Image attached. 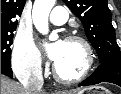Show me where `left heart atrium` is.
<instances>
[{
    "mask_svg": "<svg viewBox=\"0 0 121 94\" xmlns=\"http://www.w3.org/2000/svg\"><path fill=\"white\" fill-rule=\"evenodd\" d=\"M63 45H64L63 41H58L55 44L49 46L48 55L52 61H54V62L57 61V59L59 58V56L62 52Z\"/></svg>",
    "mask_w": 121,
    "mask_h": 94,
    "instance_id": "left-heart-atrium-1",
    "label": "left heart atrium"
}]
</instances>
